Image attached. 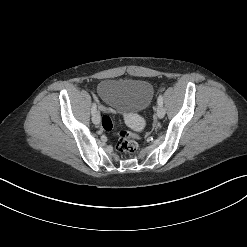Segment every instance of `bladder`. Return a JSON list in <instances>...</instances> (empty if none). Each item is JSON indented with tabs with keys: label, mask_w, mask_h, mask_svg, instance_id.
<instances>
[{
	"label": "bladder",
	"mask_w": 247,
	"mask_h": 247,
	"mask_svg": "<svg viewBox=\"0 0 247 247\" xmlns=\"http://www.w3.org/2000/svg\"><path fill=\"white\" fill-rule=\"evenodd\" d=\"M97 93L110 108L132 114L149 105L153 87L142 80L104 79L99 82Z\"/></svg>",
	"instance_id": "1"
}]
</instances>
